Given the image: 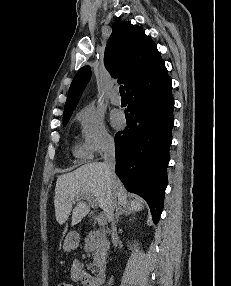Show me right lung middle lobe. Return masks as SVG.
<instances>
[{"label": "right lung middle lobe", "instance_id": "right-lung-middle-lobe-1", "mask_svg": "<svg viewBox=\"0 0 231 286\" xmlns=\"http://www.w3.org/2000/svg\"><path fill=\"white\" fill-rule=\"evenodd\" d=\"M72 113L63 116V126H66Z\"/></svg>", "mask_w": 231, "mask_h": 286}]
</instances>
